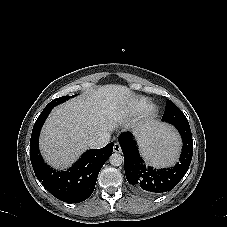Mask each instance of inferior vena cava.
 Segmentation results:
<instances>
[{
  "instance_id": "obj_1",
  "label": "inferior vena cava",
  "mask_w": 227,
  "mask_h": 227,
  "mask_svg": "<svg viewBox=\"0 0 227 227\" xmlns=\"http://www.w3.org/2000/svg\"><path fill=\"white\" fill-rule=\"evenodd\" d=\"M110 133L104 132L91 137L88 141V147L98 149L106 146L110 141Z\"/></svg>"
}]
</instances>
